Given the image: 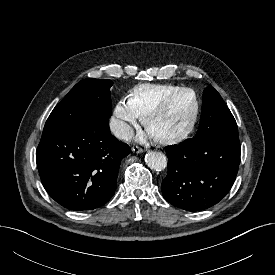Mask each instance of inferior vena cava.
Returning a JSON list of instances; mask_svg holds the SVG:
<instances>
[{
  "label": "inferior vena cava",
  "mask_w": 275,
  "mask_h": 275,
  "mask_svg": "<svg viewBox=\"0 0 275 275\" xmlns=\"http://www.w3.org/2000/svg\"><path fill=\"white\" fill-rule=\"evenodd\" d=\"M110 128L118 139L130 140L134 134L132 128L121 120H112L110 123Z\"/></svg>",
  "instance_id": "inferior-vena-cava-1"
}]
</instances>
